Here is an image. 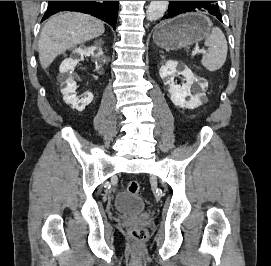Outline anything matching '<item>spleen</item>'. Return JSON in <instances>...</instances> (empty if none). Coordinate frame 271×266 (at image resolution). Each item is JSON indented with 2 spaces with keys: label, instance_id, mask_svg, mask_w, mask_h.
I'll list each match as a JSON object with an SVG mask.
<instances>
[{
  "label": "spleen",
  "instance_id": "spleen-1",
  "mask_svg": "<svg viewBox=\"0 0 271 266\" xmlns=\"http://www.w3.org/2000/svg\"><path fill=\"white\" fill-rule=\"evenodd\" d=\"M205 45L209 52L203 55L201 64L210 72L220 69L227 57L228 46L225 35L218 27H212L207 35Z\"/></svg>",
  "mask_w": 271,
  "mask_h": 266
}]
</instances>
